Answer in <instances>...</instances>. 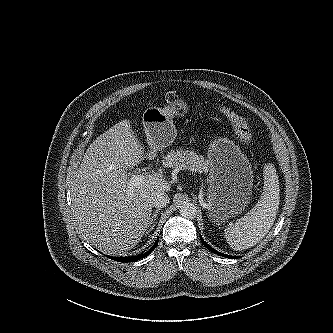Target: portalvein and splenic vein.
<instances>
[{
    "label": "portal vein and splenic vein",
    "mask_w": 333,
    "mask_h": 333,
    "mask_svg": "<svg viewBox=\"0 0 333 333\" xmlns=\"http://www.w3.org/2000/svg\"><path fill=\"white\" fill-rule=\"evenodd\" d=\"M144 179H145L144 175H133L130 178V183L135 186L138 185L140 182H142Z\"/></svg>",
    "instance_id": "portal-vein-and-splenic-vein-1"
}]
</instances>
